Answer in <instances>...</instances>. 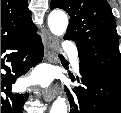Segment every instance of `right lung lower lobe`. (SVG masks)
Segmentation results:
<instances>
[{
    "mask_svg": "<svg viewBox=\"0 0 121 113\" xmlns=\"http://www.w3.org/2000/svg\"><path fill=\"white\" fill-rule=\"evenodd\" d=\"M6 50L12 52L3 55ZM43 52L41 38L36 34V30L13 42L1 45V68L8 72L6 75L1 74V113H22L28 95L12 93V84L42 60ZM5 61L11 62L15 75H12L10 68L4 65Z\"/></svg>",
    "mask_w": 121,
    "mask_h": 113,
    "instance_id": "obj_1",
    "label": "right lung lower lobe"
}]
</instances>
